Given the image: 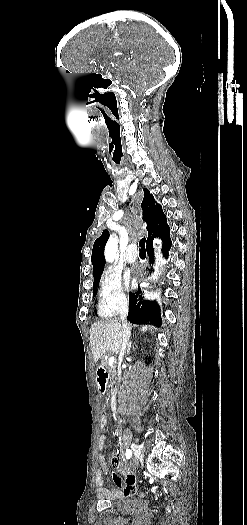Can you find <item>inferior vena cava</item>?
<instances>
[{"label":"inferior vena cava","instance_id":"602c4592","mask_svg":"<svg viewBox=\"0 0 247 525\" xmlns=\"http://www.w3.org/2000/svg\"><path fill=\"white\" fill-rule=\"evenodd\" d=\"M129 313V305L128 303H124V301H121L120 307H119V315H120V321L122 323V337L120 341V351L118 353L119 359H118V365L119 369L121 367V363L123 361V357L126 353V349L128 347L130 335H131V327L127 323V317Z\"/></svg>","mask_w":247,"mask_h":525}]
</instances>
